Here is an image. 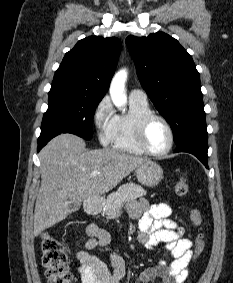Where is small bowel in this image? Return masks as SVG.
Masks as SVG:
<instances>
[{
	"mask_svg": "<svg viewBox=\"0 0 233 283\" xmlns=\"http://www.w3.org/2000/svg\"><path fill=\"white\" fill-rule=\"evenodd\" d=\"M129 213L139 219V243L148 250L162 246L171 258L170 263L159 260L155 266L146 268L135 283H149L156 278L162 283H184L193 255L192 241L184 238L182 228L169 218L170 206L165 203L150 205L140 200L129 206ZM87 233L90 239L85 243V250L76 254L82 283H120L125 276V263L121 256L110 254L113 267V272H110L104 262L89 253L97 247H106L110 235L97 225H90Z\"/></svg>",
	"mask_w": 233,
	"mask_h": 283,
	"instance_id": "1",
	"label": "small bowel"
}]
</instances>
